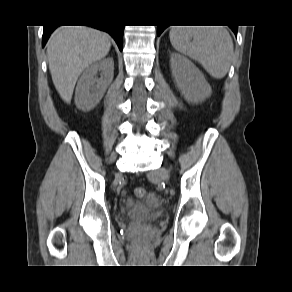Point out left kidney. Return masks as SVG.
Listing matches in <instances>:
<instances>
[{"instance_id": "left-kidney-1", "label": "left kidney", "mask_w": 292, "mask_h": 292, "mask_svg": "<svg viewBox=\"0 0 292 292\" xmlns=\"http://www.w3.org/2000/svg\"><path fill=\"white\" fill-rule=\"evenodd\" d=\"M170 67L177 87L188 102L199 103L211 95L212 89L209 83L190 60L172 53Z\"/></svg>"}]
</instances>
